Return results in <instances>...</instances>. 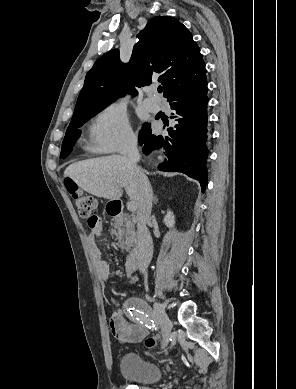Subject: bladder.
Segmentation results:
<instances>
[{
    "instance_id": "1",
    "label": "bladder",
    "mask_w": 296,
    "mask_h": 389,
    "mask_svg": "<svg viewBox=\"0 0 296 389\" xmlns=\"http://www.w3.org/2000/svg\"><path fill=\"white\" fill-rule=\"evenodd\" d=\"M120 370L127 381L140 385L156 383L162 377L158 365L143 360L136 353H127L121 358Z\"/></svg>"
}]
</instances>
